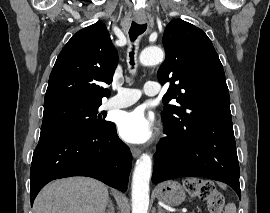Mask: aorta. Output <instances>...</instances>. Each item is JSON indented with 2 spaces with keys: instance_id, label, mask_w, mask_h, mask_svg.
Segmentation results:
<instances>
[{
  "instance_id": "obj_1",
  "label": "aorta",
  "mask_w": 270,
  "mask_h": 213,
  "mask_svg": "<svg viewBox=\"0 0 270 213\" xmlns=\"http://www.w3.org/2000/svg\"><path fill=\"white\" fill-rule=\"evenodd\" d=\"M163 58L164 52L159 47L145 48L139 57L141 64L145 66L158 64ZM151 168V156L143 153L136 162L132 177V213L148 212Z\"/></svg>"
}]
</instances>
